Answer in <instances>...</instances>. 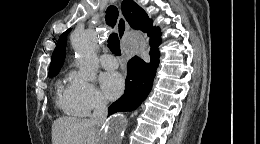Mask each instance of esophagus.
Returning <instances> with one entry per match:
<instances>
[{
    "label": "esophagus",
    "mask_w": 260,
    "mask_h": 144,
    "mask_svg": "<svg viewBox=\"0 0 260 144\" xmlns=\"http://www.w3.org/2000/svg\"><path fill=\"white\" fill-rule=\"evenodd\" d=\"M117 30H118L119 37L121 39L124 38V36L127 34L128 30H129L128 23L126 22L123 15H120L119 18H118Z\"/></svg>",
    "instance_id": "obj_1"
}]
</instances>
